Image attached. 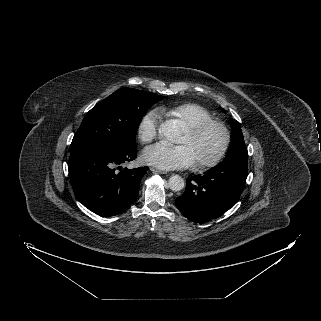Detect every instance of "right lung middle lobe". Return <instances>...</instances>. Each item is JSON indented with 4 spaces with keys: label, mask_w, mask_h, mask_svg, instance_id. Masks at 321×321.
Segmentation results:
<instances>
[{
    "label": "right lung middle lobe",
    "mask_w": 321,
    "mask_h": 321,
    "mask_svg": "<svg viewBox=\"0 0 321 321\" xmlns=\"http://www.w3.org/2000/svg\"><path fill=\"white\" fill-rule=\"evenodd\" d=\"M164 97L122 88L93 107L73 137L71 147L94 144L113 149L135 147L136 132L145 112Z\"/></svg>",
    "instance_id": "1"
}]
</instances>
